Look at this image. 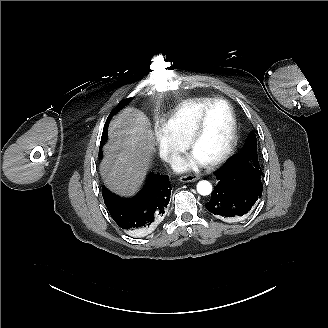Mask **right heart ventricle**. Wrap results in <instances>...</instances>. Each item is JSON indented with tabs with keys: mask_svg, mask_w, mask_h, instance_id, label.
<instances>
[{
	"mask_svg": "<svg viewBox=\"0 0 328 328\" xmlns=\"http://www.w3.org/2000/svg\"><path fill=\"white\" fill-rule=\"evenodd\" d=\"M212 99L195 97L185 100L174 108L156 115V123L162 126L172 140L185 145L196 116Z\"/></svg>",
	"mask_w": 328,
	"mask_h": 328,
	"instance_id": "e07e8e85",
	"label": "right heart ventricle"
}]
</instances>
